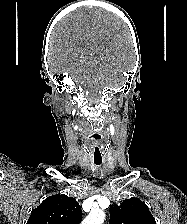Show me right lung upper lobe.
<instances>
[{"mask_svg":"<svg viewBox=\"0 0 187 224\" xmlns=\"http://www.w3.org/2000/svg\"><path fill=\"white\" fill-rule=\"evenodd\" d=\"M82 210L73 197L57 194L33 209L27 224H79Z\"/></svg>","mask_w":187,"mask_h":224,"instance_id":"right-lung-upper-lobe-1","label":"right lung upper lobe"}]
</instances>
